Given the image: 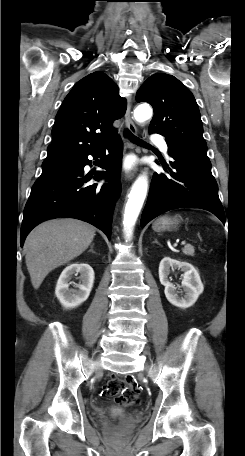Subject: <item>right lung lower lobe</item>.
Wrapping results in <instances>:
<instances>
[{
  "mask_svg": "<svg viewBox=\"0 0 245 456\" xmlns=\"http://www.w3.org/2000/svg\"><path fill=\"white\" fill-rule=\"evenodd\" d=\"M105 147L109 155L105 153ZM88 155L101 158L99 166L109 172L98 171L94 179L110 175L103 185L87 182L84 167L91 164ZM121 139H108L93 151L63 168L42 172L34 183L26 203L20 232L23 246L28 233L39 223L57 217H71L91 223L111 237V221L117 197L121 191L120 163Z\"/></svg>",
  "mask_w": 245,
  "mask_h": 456,
  "instance_id": "obj_1",
  "label": "right lung lower lobe"
}]
</instances>
